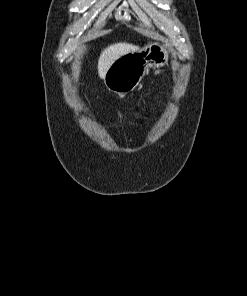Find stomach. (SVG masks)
I'll return each mask as SVG.
<instances>
[{
	"mask_svg": "<svg viewBox=\"0 0 247 296\" xmlns=\"http://www.w3.org/2000/svg\"><path fill=\"white\" fill-rule=\"evenodd\" d=\"M168 61L169 51L165 46L158 42L149 43L115 60L106 72L103 81L111 92L129 93L140 84L149 68L162 67Z\"/></svg>",
	"mask_w": 247,
	"mask_h": 296,
	"instance_id": "1",
	"label": "stomach"
}]
</instances>
